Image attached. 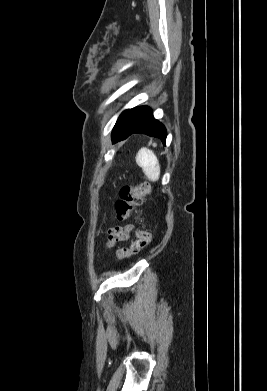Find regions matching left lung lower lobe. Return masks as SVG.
I'll return each mask as SVG.
<instances>
[{
    "label": "left lung lower lobe",
    "mask_w": 267,
    "mask_h": 391,
    "mask_svg": "<svg viewBox=\"0 0 267 391\" xmlns=\"http://www.w3.org/2000/svg\"><path fill=\"white\" fill-rule=\"evenodd\" d=\"M133 133L154 136L163 143L167 135L164 125L154 119L152 110L147 106L135 107L122 112L114 126L112 141L116 143L124 140Z\"/></svg>",
    "instance_id": "0a47b994"
}]
</instances>
